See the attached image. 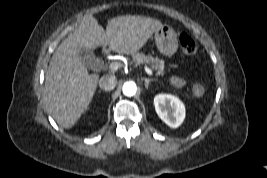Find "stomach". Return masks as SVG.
Returning a JSON list of instances; mask_svg holds the SVG:
<instances>
[{"instance_id":"1","label":"stomach","mask_w":267,"mask_h":178,"mask_svg":"<svg viewBox=\"0 0 267 178\" xmlns=\"http://www.w3.org/2000/svg\"><path fill=\"white\" fill-rule=\"evenodd\" d=\"M155 44L161 54L171 57L178 49V38L175 31L169 26H163L154 34Z\"/></svg>"}]
</instances>
